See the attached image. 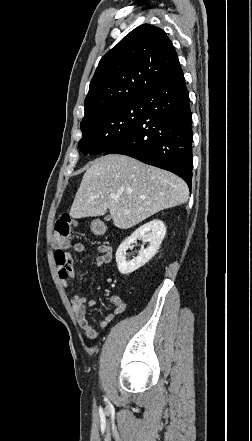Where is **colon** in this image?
Instances as JSON below:
<instances>
[{
	"instance_id": "5ec220e1",
	"label": "colon",
	"mask_w": 252,
	"mask_h": 441,
	"mask_svg": "<svg viewBox=\"0 0 252 441\" xmlns=\"http://www.w3.org/2000/svg\"><path fill=\"white\" fill-rule=\"evenodd\" d=\"M71 229V220L68 215L61 216L54 228V250L58 263L66 264L67 249L69 248V235Z\"/></svg>"
}]
</instances>
